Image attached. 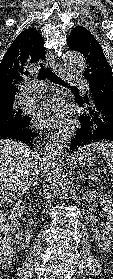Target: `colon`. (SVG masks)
I'll list each match as a JSON object with an SVG mask.
<instances>
[{
  "mask_svg": "<svg viewBox=\"0 0 113 279\" xmlns=\"http://www.w3.org/2000/svg\"><path fill=\"white\" fill-rule=\"evenodd\" d=\"M12 252V240L8 224L0 212V261L10 257Z\"/></svg>",
  "mask_w": 113,
  "mask_h": 279,
  "instance_id": "5ec220e1",
  "label": "colon"
}]
</instances>
